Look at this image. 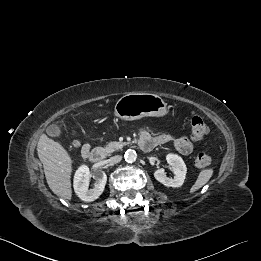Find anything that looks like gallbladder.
<instances>
[{"mask_svg":"<svg viewBox=\"0 0 261 261\" xmlns=\"http://www.w3.org/2000/svg\"><path fill=\"white\" fill-rule=\"evenodd\" d=\"M47 134L51 137H59L61 135V128L57 124L50 125L47 128Z\"/></svg>","mask_w":261,"mask_h":261,"instance_id":"bac80fb5","label":"gallbladder"}]
</instances>
